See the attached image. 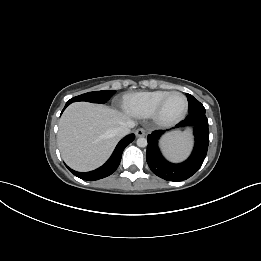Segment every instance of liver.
<instances>
[{
	"label": "liver",
	"mask_w": 261,
	"mask_h": 261,
	"mask_svg": "<svg viewBox=\"0 0 261 261\" xmlns=\"http://www.w3.org/2000/svg\"><path fill=\"white\" fill-rule=\"evenodd\" d=\"M129 121L127 115L105 105L71 104L60 119L57 136L63 160L81 172L98 168L120 139L115 129Z\"/></svg>",
	"instance_id": "liver-1"
}]
</instances>
